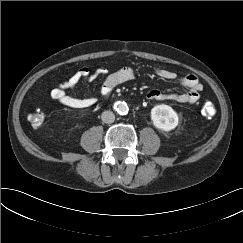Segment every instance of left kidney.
I'll use <instances>...</instances> for the list:
<instances>
[{
  "label": "left kidney",
  "mask_w": 243,
  "mask_h": 243,
  "mask_svg": "<svg viewBox=\"0 0 243 243\" xmlns=\"http://www.w3.org/2000/svg\"><path fill=\"white\" fill-rule=\"evenodd\" d=\"M153 125L163 131H171L178 125V115L172 107L160 104L151 109Z\"/></svg>",
  "instance_id": "5707ae66"
}]
</instances>
